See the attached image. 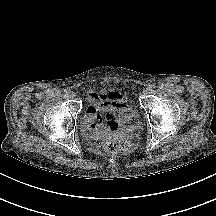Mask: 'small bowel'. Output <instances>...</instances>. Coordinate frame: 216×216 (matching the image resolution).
<instances>
[{
	"label": "small bowel",
	"instance_id": "1",
	"mask_svg": "<svg viewBox=\"0 0 216 216\" xmlns=\"http://www.w3.org/2000/svg\"><path fill=\"white\" fill-rule=\"evenodd\" d=\"M88 106L83 117L84 130L93 136H103L118 127L119 118H129L131 110L126 96L119 90L108 88L100 92L89 91ZM106 113L105 116H102Z\"/></svg>",
	"mask_w": 216,
	"mask_h": 216
}]
</instances>
